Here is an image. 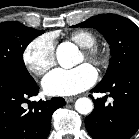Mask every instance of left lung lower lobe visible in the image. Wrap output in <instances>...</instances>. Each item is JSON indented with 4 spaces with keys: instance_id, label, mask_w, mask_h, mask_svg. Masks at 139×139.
<instances>
[{
    "instance_id": "1",
    "label": "left lung lower lobe",
    "mask_w": 139,
    "mask_h": 139,
    "mask_svg": "<svg viewBox=\"0 0 139 139\" xmlns=\"http://www.w3.org/2000/svg\"><path fill=\"white\" fill-rule=\"evenodd\" d=\"M92 92H109L114 99H94L85 126L94 139H130L139 128V62L121 71L111 82L98 84Z\"/></svg>"
}]
</instances>
